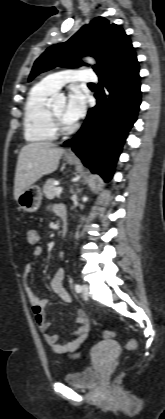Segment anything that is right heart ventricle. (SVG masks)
I'll return each mask as SVG.
<instances>
[{
  "mask_svg": "<svg viewBox=\"0 0 165 419\" xmlns=\"http://www.w3.org/2000/svg\"><path fill=\"white\" fill-rule=\"evenodd\" d=\"M54 93L42 82L30 90L24 106V135L29 142H50L56 139L57 132L53 126L48 100Z\"/></svg>",
  "mask_w": 165,
  "mask_h": 419,
  "instance_id": "e07e8e85",
  "label": "right heart ventricle"
}]
</instances>
